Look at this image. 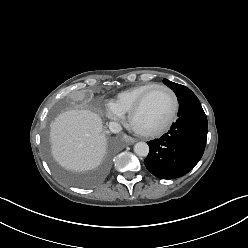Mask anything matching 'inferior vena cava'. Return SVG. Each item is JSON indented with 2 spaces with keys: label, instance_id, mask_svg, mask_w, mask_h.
<instances>
[{
  "label": "inferior vena cava",
  "instance_id": "602c4592",
  "mask_svg": "<svg viewBox=\"0 0 248 248\" xmlns=\"http://www.w3.org/2000/svg\"><path fill=\"white\" fill-rule=\"evenodd\" d=\"M108 127H109L110 132H112V133H119L122 130L121 125L119 123L113 122V121L109 122Z\"/></svg>",
  "mask_w": 248,
  "mask_h": 248
}]
</instances>
